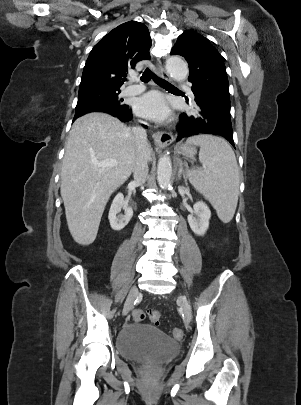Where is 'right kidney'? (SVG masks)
Instances as JSON below:
<instances>
[{"instance_id": "obj_1", "label": "right kidney", "mask_w": 301, "mask_h": 405, "mask_svg": "<svg viewBox=\"0 0 301 405\" xmlns=\"http://www.w3.org/2000/svg\"><path fill=\"white\" fill-rule=\"evenodd\" d=\"M122 208L125 210V214L118 215ZM132 216V208L125 203L124 195L122 193H118L115 196L109 210L108 219L111 228L115 231L122 230L131 220Z\"/></svg>"}]
</instances>
